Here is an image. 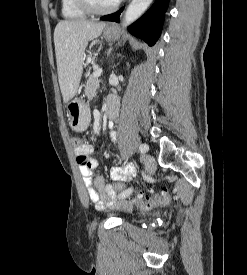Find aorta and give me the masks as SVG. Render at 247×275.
Wrapping results in <instances>:
<instances>
[{
  "label": "aorta",
  "mask_w": 247,
  "mask_h": 275,
  "mask_svg": "<svg viewBox=\"0 0 247 275\" xmlns=\"http://www.w3.org/2000/svg\"><path fill=\"white\" fill-rule=\"evenodd\" d=\"M151 2L152 0H132L125 12L124 26H128L136 21L146 11Z\"/></svg>",
  "instance_id": "aorta-1"
}]
</instances>
